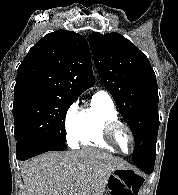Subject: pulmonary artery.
Instances as JSON below:
<instances>
[{
	"label": "pulmonary artery",
	"mask_w": 178,
	"mask_h": 195,
	"mask_svg": "<svg viewBox=\"0 0 178 195\" xmlns=\"http://www.w3.org/2000/svg\"><path fill=\"white\" fill-rule=\"evenodd\" d=\"M100 93H105V94H107L106 92H104V91H99ZM108 95V94H107Z\"/></svg>",
	"instance_id": "pulmonary-artery-1"
}]
</instances>
